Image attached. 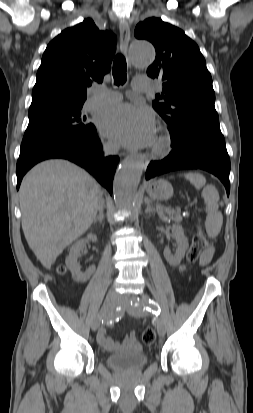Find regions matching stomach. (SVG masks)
<instances>
[{
  "label": "stomach",
  "mask_w": 253,
  "mask_h": 413,
  "mask_svg": "<svg viewBox=\"0 0 253 413\" xmlns=\"http://www.w3.org/2000/svg\"><path fill=\"white\" fill-rule=\"evenodd\" d=\"M147 194L154 200H167L173 195L172 185L165 180H157L146 186Z\"/></svg>",
  "instance_id": "1"
}]
</instances>
